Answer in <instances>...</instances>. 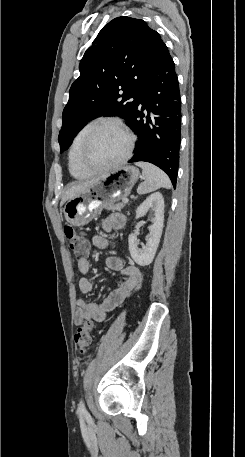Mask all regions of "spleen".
Here are the masks:
<instances>
[{"label": "spleen", "instance_id": "3e777b00", "mask_svg": "<svg viewBox=\"0 0 245 457\" xmlns=\"http://www.w3.org/2000/svg\"><path fill=\"white\" fill-rule=\"evenodd\" d=\"M135 164L142 168V172L145 176L144 182H140L137 188L138 194L153 192V190H157V188H161V186L170 188V178L161 168L154 166V164H150V162H135Z\"/></svg>", "mask_w": 245, "mask_h": 457}]
</instances>
